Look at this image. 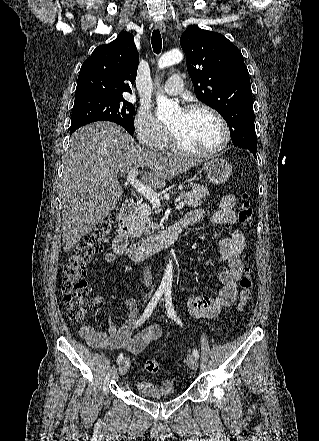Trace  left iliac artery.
Returning <instances> with one entry per match:
<instances>
[{
    "instance_id": "left-iliac-artery-1",
    "label": "left iliac artery",
    "mask_w": 319,
    "mask_h": 441,
    "mask_svg": "<svg viewBox=\"0 0 319 441\" xmlns=\"http://www.w3.org/2000/svg\"><path fill=\"white\" fill-rule=\"evenodd\" d=\"M165 302H166V309H167L168 316L171 319H173L177 324L182 326L183 324H182L181 320L179 319V317L177 316V314L175 313L173 305H172L171 290L165 291ZM193 356L196 359L199 358V353L196 349H193Z\"/></svg>"
}]
</instances>
